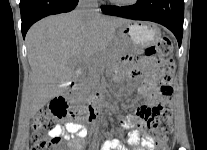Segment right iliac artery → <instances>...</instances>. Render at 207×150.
I'll use <instances>...</instances> for the list:
<instances>
[{
  "label": "right iliac artery",
  "mask_w": 207,
  "mask_h": 150,
  "mask_svg": "<svg viewBox=\"0 0 207 150\" xmlns=\"http://www.w3.org/2000/svg\"><path fill=\"white\" fill-rule=\"evenodd\" d=\"M111 143L109 141L105 142L101 150H110Z\"/></svg>",
  "instance_id": "obj_1"
}]
</instances>
